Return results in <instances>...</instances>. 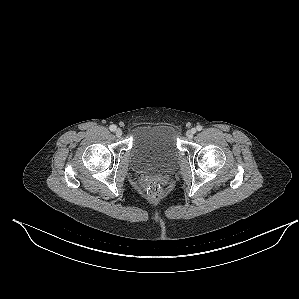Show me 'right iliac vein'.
I'll return each mask as SVG.
<instances>
[{
  "instance_id": "obj_1",
  "label": "right iliac vein",
  "mask_w": 299,
  "mask_h": 299,
  "mask_svg": "<svg viewBox=\"0 0 299 299\" xmlns=\"http://www.w3.org/2000/svg\"><path fill=\"white\" fill-rule=\"evenodd\" d=\"M122 130L120 128L116 129L115 134L117 137H121L122 136Z\"/></svg>"
}]
</instances>
